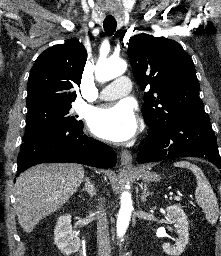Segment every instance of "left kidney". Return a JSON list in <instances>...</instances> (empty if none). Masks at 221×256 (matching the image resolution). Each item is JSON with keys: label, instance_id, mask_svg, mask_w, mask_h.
I'll return each instance as SVG.
<instances>
[{"label": "left kidney", "instance_id": "obj_1", "mask_svg": "<svg viewBox=\"0 0 221 256\" xmlns=\"http://www.w3.org/2000/svg\"><path fill=\"white\" fill-rule=\"evenodd\" d=\"M167 218L174 223L178 239L176 247H171L169 243L163 244L165 253L171 256H179L184 252V249L189 241L188 221L183 209L178 205L167 207Z\"/></svg>", "mask_w": 221, "mask_h": 256}]
</instances>
